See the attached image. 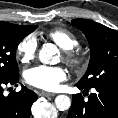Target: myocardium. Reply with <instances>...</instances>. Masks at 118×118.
<instances>
[{"mask_svg": "<svg viewBox=\"0 0 118 118\" xmlns=\"http://www.w3.org/2000/svg\"><path fill=\"white\" fill-rule=\"evenodd\" d=\"M64 60L68 65L77 69L85 63V57L74 50H64Z\"/></svg>", "mask_w": 118, "mask_h": 118, "instance_id": "myocardium-1", "label": "myocardium"}]
</instances>
